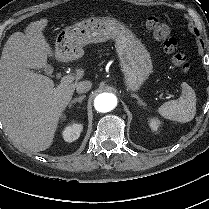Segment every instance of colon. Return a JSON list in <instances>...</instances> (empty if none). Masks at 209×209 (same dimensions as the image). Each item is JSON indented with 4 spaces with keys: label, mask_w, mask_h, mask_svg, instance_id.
<instances>
[{
    "label": "colon",
    "mask_w": 209,
    "mask_h": 209,
    "mask_svg": "<svg viewBox=\"0 0 209 209\" xmlns=\"http://www.w3.org/2000/svg\"><path fill=\"white\" fill-rule=\"evenodd\" d=\"M145 27L161 43L164 53L171 55V65L179 68L183 73L188 72L191 66L190 62L186 54L177 52L179 41L175 36L171 35L170 27L155 16H148L146 18Z\"/></svg>",
    "instance_id": "obj_1"
}]
</instances>
